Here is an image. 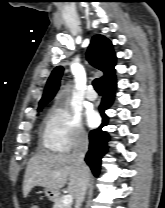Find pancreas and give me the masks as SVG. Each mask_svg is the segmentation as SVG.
<instances>
[{
	"instance_id": "pancreas-1",
	"label": "pancreas",
	"mask_w": 165,
	"mask_h": 208,
	"mask_svg": "<svg viewBox=\"0 0 165 208\" xmlns=\"http://www.w3.org/2000/svg\"><path fill=\"white\" fill-rule=\"evenodd\" d=\"M53 208H71V205H64L62 199L58 198L54 201Z\"/></svg>"
}]
</instances>
